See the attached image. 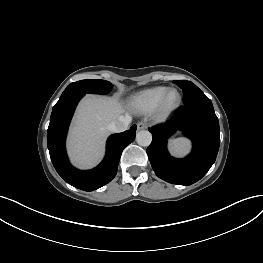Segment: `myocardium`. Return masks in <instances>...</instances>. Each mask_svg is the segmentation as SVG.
Wrapping results in <instances>:
<instances>
[{
    "instance_id": "myocardium-1",
    "label": "myocardium",
    "mask_w": 263,
    "mask_h": 263,
    "mask_svg": "<svg viewBox=\"0 0 263 263\" xmlns=\"http://www.w3.org/2000/svg\"><path fill=\"white\" fill-rule=\"evenodd\" d=\"M173 93L177 95V100L174 103H170L169 98ZM182 100V94L179 90L175 88L168 89L155 109L156 118L164 120L169 117L181 106Z\"/></svg>"
}]
</instances>
